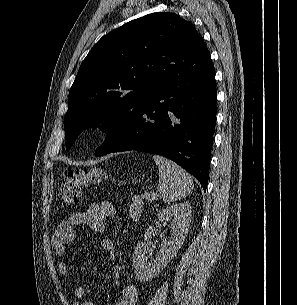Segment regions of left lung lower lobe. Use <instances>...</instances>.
Returning <instances> with one entry per match:
<instances>
[{"mask_svg":"<svg viewBox=\"0 0 297 305\" xmlns=\"http://www.w3.org/2000/svg\"><path fill=\"white\" fill-rule=\"evenodd\" d=\"M216 96L212 64L169 80L143 105L125 136L110 140L111 147L98 156L127 150L159 154L186 169L206 191Z\"/></svg>","mask_w":297,"mask_h":305,"instance_id":"obj_1","label":"left lung lower lobe"}]
</instances>
